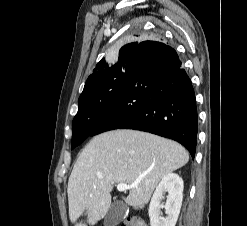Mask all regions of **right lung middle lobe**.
<instances>
[{"instance_id":"obj_1","label":"right lung middle lobe","mask_w":247,"mask_h":226,"mask_svg":"<svg viewBox=\"0 0 247 226\" xmlns=\"http://www.w3.org/2000/svg\"><path fill=\"white\" fill-rule=\"evenodd\" d=\"M130 60L131 57L122 55L119 52L118 61L113 64L116 66V69L108 70L104 66L95 83L80 95L78 112L72 123L73 135L71 149L91 136L96 125L119 93ZM109 62L113 63V60Z\"/></svg>"}]
</instances>
